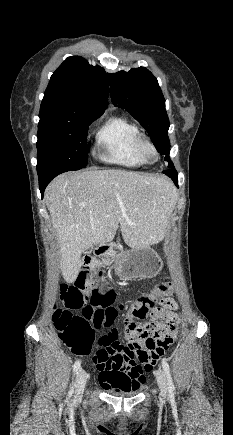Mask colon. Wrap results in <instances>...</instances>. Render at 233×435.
Segmentation results:
<instances>
[{
    "label": "colon",
    "instance_id": "obj_1",
    "mask_svg": "<svg viewBox=\"0 0 233 435\" xmlns=\"http://www.w3.org/2000/svg\"><path fill=\"white\" fill-rule=\"evenodd\" d=\"M105 276L94 268L83 269L74 284H61L59 298L67 307L58 309L54 322L59 339L73 353L81 356L89 355L94 350V363L105 362L111 355L118 353L124 358L126 366L140 365L145 370H152L156 361L171 345L175 327L164 324L159 330L150 324H137L134 318L147 320L160 312L159 299L172 293L168 281L156 283L151 292L140 295L134 303L126 308L123 320L125 343L97 338L96 331L109 327L117 318L114 307L115 295H95L85 302L82 290L95 281L101 282ZM121 309H124L122 306ZM70 310H79L73 314ZM115 380L118 391L132 388L125 375H117Z\"/></svg>",
    "mask_w": 233,
    "mask_h": 435
}]
</instances>
